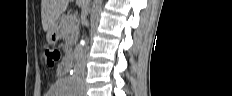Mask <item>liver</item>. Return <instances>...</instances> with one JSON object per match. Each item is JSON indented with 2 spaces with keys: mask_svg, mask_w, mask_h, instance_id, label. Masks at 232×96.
<instances>
[{
  "mask_svg": "<svg viewBox=\"0 0 232 96\" xmlns=\"http://www.w3.org/2000/svg\"><path fill=\"white\" fill-rule=\"evenodd\" d=\"M69 0H42L41 18L43 30L48 32L56 26L59 16L66 10ZM78 3H82L78 0Z\"/></svg>",
  "mask_w": 232,
  "mask_h": 96,
  "instance_id": "1",
  "label": "liver"
}]
</instances>
